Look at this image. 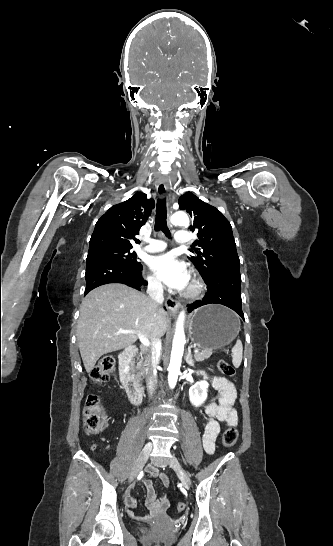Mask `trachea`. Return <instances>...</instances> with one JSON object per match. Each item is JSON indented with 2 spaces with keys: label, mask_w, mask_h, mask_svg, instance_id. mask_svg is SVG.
I'll use <instances>...</instances> for the list:
<instances>
[{
  "label": "trachea",
  "mask_w": 333,
  "mask_h": 546,
  "mask_svg": "<svg viewBox=\"0 0 333 546\" xmlns=\"http://www.w3.org/2000/svg\"><path fill=\"white\" fill-rule=\"evenodd\" d=\"M167 211L165 198L157 201L155 231H162L166 236L171 237L170 230L167 227Z\"/></svg>",
  "instance_id": "trachea-1"
}]
</instances>
